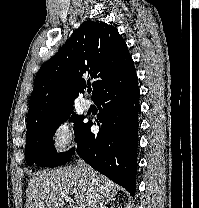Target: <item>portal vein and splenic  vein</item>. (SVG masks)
Masks as SVG:
<instances>
[{"label":"portal vein and splenic vein","instance_id":"portal-vein-and-splenic-vein-1","mask_svg":"<svg viewBox=\"0 0 199 208\" xmlns=\"http://www.w3.org/2000/svg\"><path fill=\"white\" fill-rule=\"evenodd\" d=\"M65 201L66 202H69V203L73 202V200L70 197H66L65 198ZM73 208H78V207H73Z\"/></svg>","mask_w":199,"mask_h":208}]
</instances>
